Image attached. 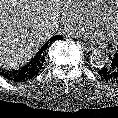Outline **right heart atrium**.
Masks as SVG:
<instances>
[{"instance_id":"d8ad5b80","label":"right heart atrium","mask_w":118,"mask_h":118,"mask_svg":"<svg viewBox=\"0 0 118 118\" xmlns=\"http://www.w3.org/2000/svg\"><path fill=\"white\" fill-rule=\"evenodd\" d=\"M94 16L88 11L83 0H68L63 13V21L68 29L74 31L93 23Z\"/></svg>"}]
</instances>
